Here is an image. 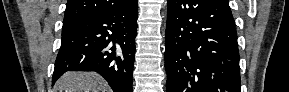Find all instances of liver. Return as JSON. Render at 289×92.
<instances>
[{
    "label": "liver",
    "instance_id": "obj_1",
    "mask_svg": "<svg viewBox=\"0 0 289 92\" xmlns=\"http://www.w3.org/2000/svg\"><path fill=\"white\" fill-rule=\"evenodd\" d=\"M55 92H110L106 81L97 73L67 72L55 83Z\"/></svg>",
    "mask_w": 289,
    "mask_h": 92
}]
</instances>
